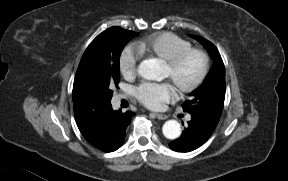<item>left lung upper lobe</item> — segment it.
I'll return each mask as SVG.
<instances>
[{
	"mask_svg": "<svg viewBox=\"0 0 288 181\" xmlns=\"http://www.w3.org/2000/svg\"><path fill=\"white\" fill-rule=\"evenodd\" d=\"M211 54L213 67L199 89L193 91L189 100L182 105L188 113H200L208 118L219 121L225 99V67L217 48L206 39L193 35Z\"/></svg>",
	"mask_w": 288,
	"mask_h": 181,
	"instance_id": "obj_1",
	"label": "left lung upper lobe"
}]
</instances>
